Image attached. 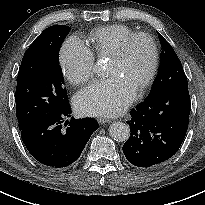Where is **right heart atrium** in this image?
Instances as JSON below:
<instances>
[{"mask_svg":"<svg viewBox=\"0 0 205 205\" xmlns=\"http://www.w3.org/2000/svg\"><path fill=\"white\" fill-rule=\"evenodd\" d=\"M58 59L64 76L73 85H81L93 75L94 55L77 36L64 41Z\"/></svg>","mask_w":205,"mask_h":205,"instance_id":"obj_1","label":"right heart atrium"}]
</instances>
